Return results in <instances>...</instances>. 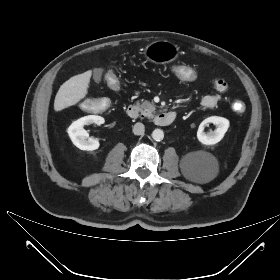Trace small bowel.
<instances>
[{"label":"small bowel","instance_id":"obj_1","mask_svg":"<svg viewBox=\"0 0 280 280\" xmlns=\"http://www.w3.org/2000/svg\"><path fill=\"white\" fill-rule=\"evenodd\" d=\"M212 85L216 90V93L205 95L201 99V106L206 109L214 108L220 102L222 94L227 90L226 83L220 79H213Z\"/></svg>","mask_w":280,"mask_h":280}]
</instances>
